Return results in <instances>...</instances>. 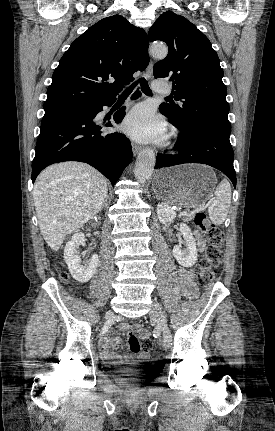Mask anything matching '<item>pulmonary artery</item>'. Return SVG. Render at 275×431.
<instances>
[{
  "instance_id": "e3ab8cb5",
  "label": "pulmonary artery",
  "mask_w": 275,
  "mask_h": 431,
  "mask_svg": "<svg viewBox=\"0 0 275 431\" xmlns=\"http://www.w3.org/2000/svg\"><path fill=\"white\" fill-rule=\"evenodd\" d=\"M153 90L158 93H168L170 91L169 86L163 81H155Z\"/></svg>"
}]
</instances>
